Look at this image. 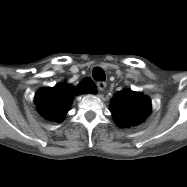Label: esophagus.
<instances>
[{"label":"esophagus","mask_w":187,"mask_h":187,"mask_svg":"<svg viewBox=\"0 0 187 187\" xmlns=\"http://www.w3.org/2000/svg\"><path fill=\"white\" fill-rule=\"evenodd\" d=\"M97 88L100 91H104L105 88H106V82H104V81H98L97 82Z\"/></svg>","instance_id":"obj_1"}]
</instances>
